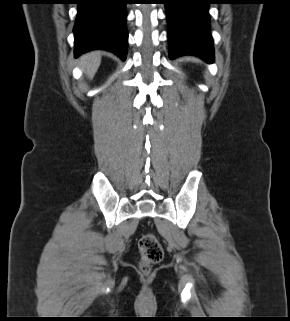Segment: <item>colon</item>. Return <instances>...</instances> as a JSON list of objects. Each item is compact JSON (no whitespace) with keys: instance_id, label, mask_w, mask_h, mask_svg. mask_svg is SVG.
Segmentation results:
<instances>
[{"instance_id":"5ec220e1","label":"colon","mask_w":290,"mask_h":321,"mask_svg":"<svg viewBox=\"0 0 290 321\" xmlns=\"http://www.w3.org/2000/svg\"><path fill=\"white\" fill-rule=\"evenodd\" d=\"M139 249L142 257L141 269L143 272H148L151 265L157 264L163 259V248L153 234H146L140 239Z\"/></svg>"}]
</instances>
